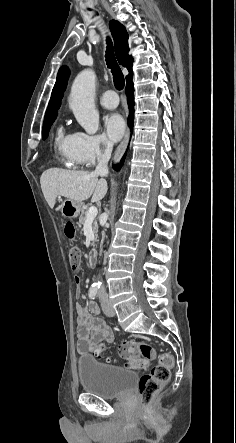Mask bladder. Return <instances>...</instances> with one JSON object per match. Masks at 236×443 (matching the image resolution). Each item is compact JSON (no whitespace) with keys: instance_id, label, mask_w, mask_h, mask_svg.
I'll list each match as a JSON object with an SVG mask.
<instances>
[{"instance_id":"bladder-1","label":"bladder","mask_w":236,"mask_h":443,"mask_svg":"<svg viewBox=\"0 0 236 443\" xmlns=\"http://www.w3.org/2000/svg\"><path fill=\"white\" fill-rule=\"evenodd\" d=\"M78 374L84 392L103 399L124 396L137 379L135 372L102 364L91 356L78 359Z\"/></svg>"}]
</instances>
